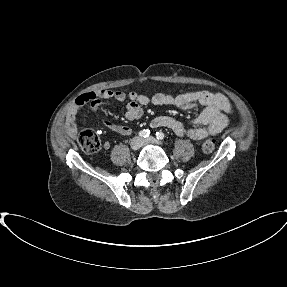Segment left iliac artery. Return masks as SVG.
<instances>
[{"instance_id":"left-iliac-artery-1","label":"left iliac artery","mask_w":287,"mask_h":287,"mask_svg":"<svg viewBox=\"0 0 287 287\" xmlns=\"http://www.w3.org/2000/svg\"><path fill=\"white\" fill-rule=\"evenodd\" d=\"M164 137H165V135L163 132H156V138L158 140H162V139H164Z\"/></svg>"}]
</instances>
